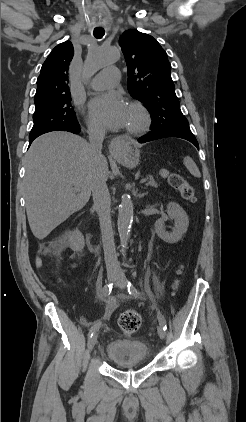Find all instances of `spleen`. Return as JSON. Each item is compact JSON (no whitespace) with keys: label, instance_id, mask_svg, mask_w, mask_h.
<instances>
[{"label":"spleen","instance_id":"obj_1","mask_svg":"<svg viewBox=\"0 0 246 422\" xmlns=\"http://www.w3.org/2000/svg\"><path fill=\"white\" fill-rule=\"evenodd\" d=\"M183 163L194 177H201V173L192 158L189 156L184 157Z\"/></svg>","mask_w":246,"mask_h":422}]
</instances>
